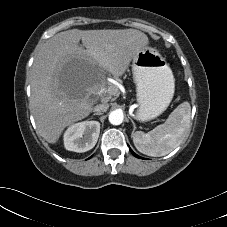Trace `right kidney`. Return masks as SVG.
<instances>
[{"mask_svg":"<svg viewBox=\"0 0 227 227\" xmlns=\"http://www.w3.org/2000/svg\"><path fill=\"white\" fill-rule=\"evenodd\" d=\"M100 134L98 121H82L70 126L64 133V146L69 151L86 152L97 143Z\"/></svg>","mask_w":227,"mask_h":227,"instance_id":"1","label":"right kidney"}]
</instances>
